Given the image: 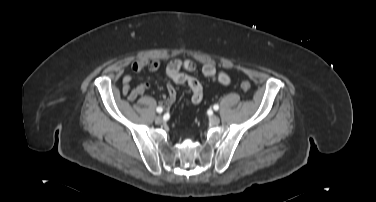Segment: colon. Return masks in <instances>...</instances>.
Returning a JSON list of instances; mask_svg holds the SVG:
<instances>
[{
  "label": "colon",
  "instance_id": "5ec220e1",
  "mask_svg": "<svg viewBox=\"0 0 376 202\" xmlns=\"http://www.w3.org/2000/svg\"><path fill=\"white\" fill-rule=\"evenodd\" d=\"M240 86L244 92H249L251 90V84L248 81H243Z\"/></svg>",
  "mask_w": 376,
  "mask_h": 202
}]
</instances>
